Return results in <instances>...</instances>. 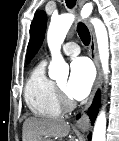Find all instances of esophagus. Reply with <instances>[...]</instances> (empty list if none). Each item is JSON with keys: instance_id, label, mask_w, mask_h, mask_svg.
<instances>
[{"instance_id": "obj_1", "label": "esophagus", "mask_w": 119, "mask_h": 141, "mask_svg": "<svg viewBox=\"0 0 119 141\" xmlns=\"http://www.w3.org/2000/svg\"><path fill=\"white\" fill-rule=\"evenodd\" d=\"M84 4L83 0H79V5L82 6ZM88 29L90 31V48H89V55L91 57V59L93 60L95 66H96V70H97V76H96V80L94 82L93 85V89L91 92V95L89 97V100L84 108V112L82 114V116L80 117V119L76 122V127L78 129H80L83 132L88 131L89 127H90V123H89V118L86 114L87 109L90 107L93 97L97 91V89L99 88L100 84H101V80H102V72H101V67H100V63H99V59L97 56V50H96V38H95V34L93 31V28L91 26V24L86 21Z\"/></svg>"}]
</instances>
